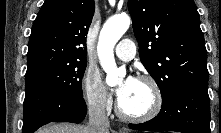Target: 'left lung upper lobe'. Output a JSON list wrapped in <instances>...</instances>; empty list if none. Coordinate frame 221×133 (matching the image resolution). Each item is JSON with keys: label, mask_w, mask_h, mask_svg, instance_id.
Segmentation results:
<instances>
[{"label": "left lung upper lobe", "mask_w": 221, "mask_h": 133, "mask_svg": "<svg viewBox=\"0 0 221 133\" xmlns=\"http://www.w3.org/2000/svg\"><path fill=\"white\" fill-rule=\"evenodd\" d=\"M140 59L165 99L188 81L208 82L207 51L193 0H128Z\"/></svg>", "instance_id": "1"}]
</instances>
